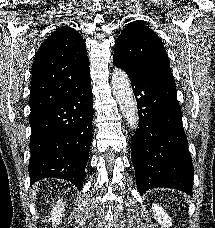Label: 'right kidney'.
Wrapping results in <instances>:
<instances>
[{
	"instance_id": "obj_1",
	"label": "right kidney",
	"mask_w": 215,
	"mask_h": 228,
	"mask_svg": "<svg viewBox=\"0 0 215 228\" xmlns=\"http://www.w3.org/2000/svg\"><path fill=\"white\" fill-rule=\"evenodd\" d=\"M52 206V212L50 214V220L53 224V228L55 226H59L60 224V220H62V218H64V206L65 204H63V200H58V202H56L55 206L54 204H51Z\"/></svg>"
}]
</instances>
